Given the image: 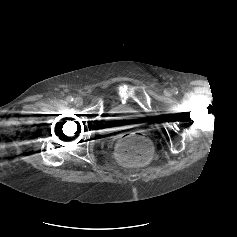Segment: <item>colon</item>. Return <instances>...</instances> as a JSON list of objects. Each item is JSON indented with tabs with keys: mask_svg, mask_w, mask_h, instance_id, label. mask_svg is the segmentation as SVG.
I'll return each instance as SVG.
<instances>
[{
	"mask_svg": "<svg viewBox=\"0 0 237 237\" xmlns=\"http://www.w3.org/2000/svg\"><path fill=\"white\" fill-rule=\"evenodd\" d=\"M116 155L119 161L124 164L141 165L151 159L152 147L144 135L131 133L118 142Z\"/></svg>",
	"mask_w": 237,
	"mask_h": 237,
	"instance_id": "obj_1",
	"label": "colon"
}]
</instances>
